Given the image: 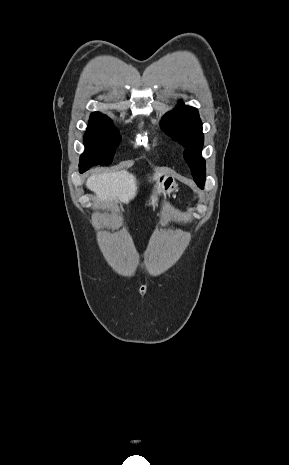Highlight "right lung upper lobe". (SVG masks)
Here are the masks:
<instances>
[{"instance_id":"cb5924a9","label":"right lung upper lobe","mask_w":289,"mask_h":465,"mask_svg":"<svg viewBox=\"0 0 289 465\" xmlns=\"http://www.w3.org/2000/svg\"><path fill=\"white\" fill-rule=\"evenodd\" d=\"M112 124V121L107 116L95 112L90 115V124L91 128H105Z\"/></svg>"}]
</instances>
